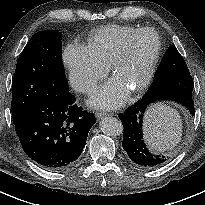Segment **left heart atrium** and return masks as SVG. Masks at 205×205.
<instances>
[{"instance_id":"39dd6f15","label":"left heart atrium","mask_w":205,"mask_h":205,"mask_svg":"<svg viewBox=\"0 0 205 205\" xmlns=\"http://www.w3.org/2000/svg\"><path fill=\"white\" fill-rule=\"evenodd\" d=\"M126 97L127 88L116 79H112L94 93L90 105L96 108L112 109L122 104Z\"/></svg>"}]
</instances>
